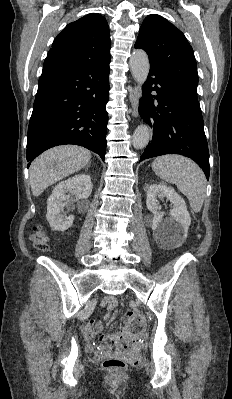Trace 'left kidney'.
<instances>
[{
    "instance_id": "obj_1",
    "label": "left kidney",
    "mask_w": 232,
    "mask_h": 399,
    "mask_svg": "<svg viewBox=\"0 0 232 399\" xmlns=\"http://www.w3.org/2000/svg\"><path fill=\"white\" fill-rule=\"evenodd\" d=\"M146 190V205L153 213L152 229L155 241L161 247H179L184 243L191 223L190 213L185 201L165 182L152 184ZM163 198H167L173 203L169 219H163L164 211H158V200H163Z\"/></svg>"
}]
</instances>
